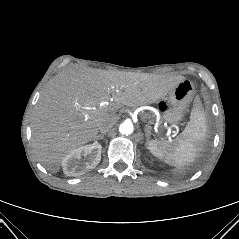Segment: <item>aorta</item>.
Listing matches in <instances>:
<instances>
[{"instance_id": "aorta-1", "label": "aorta", "mask_w": 239, "mask_h": 239, "mask_svg": "<svg viewBox=\"0 0 239 239\" xmlns=\"http://www.w3.org/2000/svg\"><path fill=\"white\" fill-rule=\"evenodd\" d=\"M133 130H134L133 123L128 120L124 121L119 126V132L122 135H130L133 133Z\"/></svg>"}]
</instances>
